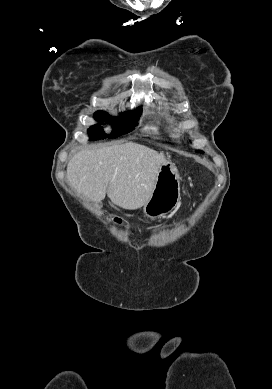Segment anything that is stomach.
Here are the masks:
<instances>
[{
	"label": "stomach",
	"mask_w": 272,
	"mask_h": 389,
	"mask_svg": "<svg viewBox=\"0 0 272 389\" xmlns=\"http://www.w3.org/2000/svg\"><path fill=\"white\" fill-rule=\"evenodd\" d=\"M180 200V177L178 169L171 161H165L157 174L152 194L143 207L149 218L163 217L172 212Z\"/></svg>",
	"instance_id": "stomach-1"
}]
</instances>
